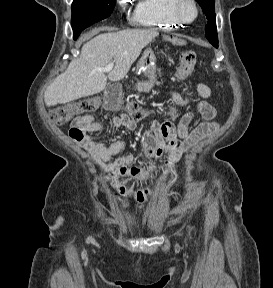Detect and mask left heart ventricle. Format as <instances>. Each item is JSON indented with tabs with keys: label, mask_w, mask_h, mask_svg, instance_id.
<instances>
[{
	"label": "left heart ventricle",
	"mask_w": 273,
	"mask_h": 288,
	"mask_svg": "<svg viewBox=\"0 0 273 288\" xmlns=\"http://www.w3.org/2000/svg\"><path fill=\"white\" fill-rule=\"evenodd\" d=\"M183 13L187 18H191L194 15V9L190 4H185Z\"/></svg>",
	"instance_id": "obj_1"
}]
</instances>
